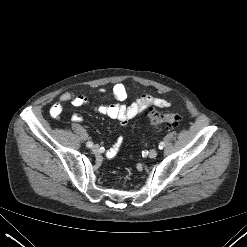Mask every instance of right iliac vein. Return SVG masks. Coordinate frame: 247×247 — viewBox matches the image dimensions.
Listing matches in <instances>:
<instances>
[{
  "mask_svg": "<svg viewBox=\"0 0 247 247\" xmlns=\"http://www.w3.org/2000/svg\"><path fill=\"white\" fill-rule=\"evenodd\" d=\"M92 152H93V153H98V152H99V146H98V145H94V146L92 147Z\"/></svg>",
  "mask_w": 247,
  "mask_h": 247,
  "instance_id": "1",
  "label": "right iliac vein"
}]
</instances>
